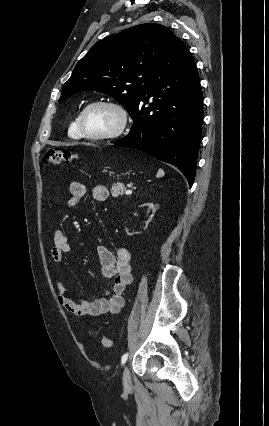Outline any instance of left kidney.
Wrapping results in <instances>:
<instances>
[{
  "label": "left kidney",
  "mask_w": 269,
  "mask_h": 426,
  "mask_svg": "<svg viewBox=\"0 0 269 426\" xmlns=\"http://www.w3.org/2000/svg\"><path fill=\"white\" fill-rule=\"evenodd\" d=\"M140 207H148V212L150 211L149 219L147 221H145V225L147 226L148 223L151 221V219L154 218L155 212L158 210L159 205L153 204V203H144ZM125 230H126L127 235H129V236H132L134 234H138V232H135L134 230H132V228H130V229L126 228Z\"/></svg>",
  "instance_id": "left-kidney-1"
}]
</instances>
